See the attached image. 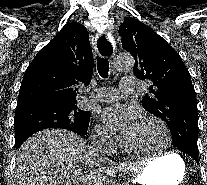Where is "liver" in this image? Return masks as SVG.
Masks as SVG:
<instances>
[{
	"label": "liver",
	"instance_id": "6515ba94",
	"mask_svg": "<svg viewBox=\"0 0 207 185\" xmlns=\"http://www.w3.org/2000/svg\"><path fill=\"white\" fill-rule=\"evenodd\" d=\"M97 159L84 139L67 129H45L21 145L14 169L15 185H95L87 183L86 165Z\"/></svg>",
	"mask_w": 207,
	"mask_h": 185
}]
</instances>
